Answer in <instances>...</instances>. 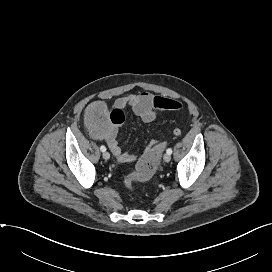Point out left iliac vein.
I'll return each mask as SVG.
<instances>
[{"mask_svg": "<svg viewBox=\"0 0 272 272\" xmlns=\"http://www.w3.org/2000/svg\"><path fill=\"white\" fill-rule=\"evenodd\" d=\"M163 159L165 162H169L171 160V155L166 153V154H164Z\"/></svg>", "mask_w": 272, "mask_h": 272, "instance_id": "4c4485c4", "label": "left iliac vein"}]
</instances>
